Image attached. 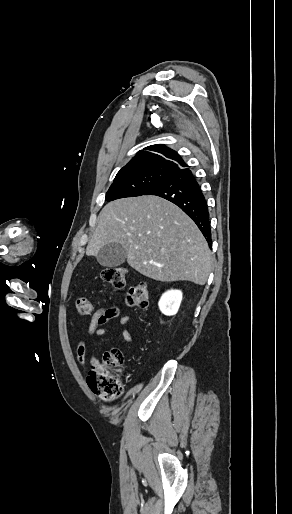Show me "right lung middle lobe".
Instances as JSON below:
<instances>
[{
    "label": "right lung middle lobe",
    "mask_w": 292,
    "mask_h": 514,
    "mask_svg": "<svg viewBox=\"0 0 292 514\" xmlns=\"http://www.w3.org/2000/svg\"><path fill=\"white\" fill-rule=\"evenodd\" d=\"M165 172H141L116 175L114 182L106 193L105 200L141 196L149 189L169 177Z\"/></svg>",
    "instance_id": "1"
}]
</instances>
